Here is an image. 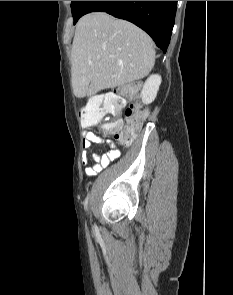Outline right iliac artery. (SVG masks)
Masks as SVG:
<instances>
[{
	"label": "right iliac artery",
	"mask_w": 233,
	"mask_h": 295,
	"mask_svg": "<svg viewBox=\"0 0 233 295\" xmlns=\"http://www.w3.org/2000/svg\"><path fill=\"white\" fill-rule=\"evenodd\" d=\"M87 204H88V198H86L85 202H84V207L85 209L87 208Z\"/></svg>",
	"instance_id": "1"
}]
</instances>
